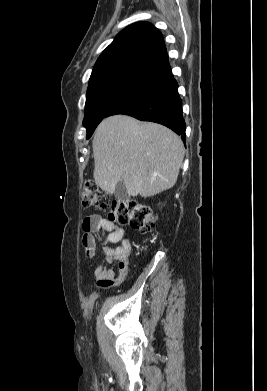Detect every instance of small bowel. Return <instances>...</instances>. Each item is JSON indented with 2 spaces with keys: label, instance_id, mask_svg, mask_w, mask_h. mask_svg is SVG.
<instances>
[{
  "label": "small bowel",
  "instance_id": "obj_1",
  "mask_svg": "<svg viewBox=\"0 0 267 391\" xmlns=\"http://www.w3.org/2000/svg\"><path fill=\"white\" fill-rule=\"evenodd\" d=\"M82 229L84 231L82 243L87 256L92 257L96 250L92 233L105 231L107 236L103 243V252L106 256V263H118L116 272L105 264L96 267L95 277L97 285L106 288L120 284L126 276L128 259L132 251L131 241L125 236L123 228L100 215L93 214L83 220ZM117 243H119V246H110V244Z\"/></svg>",
  "mask_w": 267,
  "mask_h": 391
}]
</instances>
